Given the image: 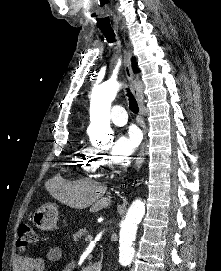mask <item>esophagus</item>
<instances>
[{
    "label": "esophagus",
    "instance_id": "1",
    "mask_svg": "<svg viewBox=\"0 0 221 271\" xmlns=\"http://www.w3.org/2000/svg\"><path fill=\"white\" fill-rule=\"evenodd\" d=\"M125 73L128 78V80L131 82L134 95L137 99V102L139 104V124L143 130L144 133V139L140 148L139 155L136 159L135 168L136 170H139L144 162L145 159V148H146V138H147V130H146V124L144 121V95H143V88L139 81L138 75H136L133 72L132 64H131V55L130 53H127L126 61H125Z\"/></svg>",
    "mask_w": 221,
    "mask_h": 271
}]
</instances>
